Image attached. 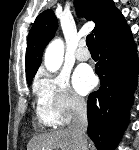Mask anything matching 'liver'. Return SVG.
Here are the masks:
<instances>
[{
    "label": "liver",
    "instance_id": "6515ba94",
    "mask_svg": "<svg viewBox=\"0 0 139 150\" xmlns=\"http://www.w3.org/2000/svg\"><path fill=\"white\" fill-rule=\"evenodd\" d=\"M76 150V143L68 129L34 136L27 150Z\"/></svg>",
    "mask_w": 139,
    "mask_h": 150
}]
</instances>
